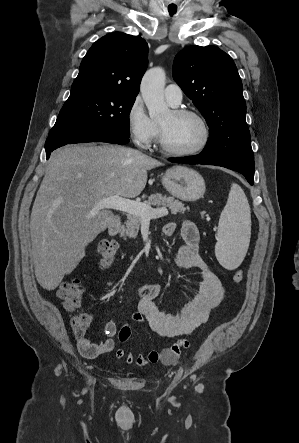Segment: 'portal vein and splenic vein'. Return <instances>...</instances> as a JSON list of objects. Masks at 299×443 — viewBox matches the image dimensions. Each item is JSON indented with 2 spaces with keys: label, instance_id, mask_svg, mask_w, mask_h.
Listing matches in <instances>:
<instances>
[{
  "label": "portal vein and splenic vein",
  "instance_id": "portal-vein-and-splenic-vein-1",
  "mask_svg": "<svg viewBox=\"0 0 299 443\" xmlns=\"http://www.w3.org/2000/svg\"><path fill=\"white\" fill-rule=\"evenodd\" d=\"M98 209H114L128 214H135L142 220H151L168 215L166 208L153 209L151 206L141 202L129 200L117 195H113L100 200Z\"/></svg>",
  "mask_w": 299,
  "mask_h": 443
}]
</instances>
